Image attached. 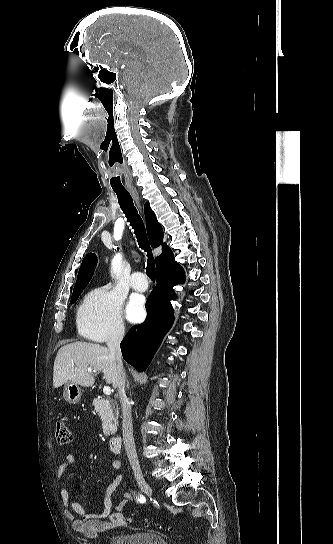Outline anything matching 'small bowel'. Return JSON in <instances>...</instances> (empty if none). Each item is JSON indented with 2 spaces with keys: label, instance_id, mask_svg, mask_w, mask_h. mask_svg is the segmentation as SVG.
Returning a JSON list of instances; mask_svg holds the SVG:
<instances>
[{
  "label": "small bowel",
  "instance_id": "small-bowel-1",
  "mask_svg": "<svg viewBox=\"0 0 333 544\" xmlns=\"http://www.w3.org/2000/svg\"><path fill=\"white\" fill-rule=\"evenodd\" d=\"M74 462L72 454H66L59 463L57 469V479L63 482L67 468ZM111 467L115 470L121 468V462L118 459L111 461ZM123 480L122 474H117L114 480L108 485L104 498V508L100 513H91L76 501L70 499L69 491L64 486L60 487V497L64 507L65 517L71 521L72 527L88 537H96L98 534L106 531H113L122 528L126 524V518L122 510L132 501L133 496L130 492L122 494L123 500L117 505L112 503V494Z\"/></svg>",
  "mask_w": 333,
  "mask_h": 544
}]
</instances>
